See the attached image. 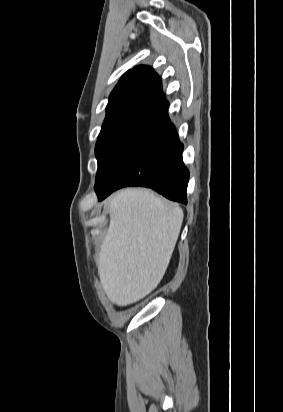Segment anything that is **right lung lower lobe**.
<instances>
[{"label": "right lung lower lobe", "mask_w": 283, "mask_h": 412, "mask_svg": "<svg viewBox=\"0 0 283 412\" xmlns=\"http://www.w3.org/2000/svg\"><path fill=\"white\" fill-rule=\"evenodd\" d=\"M182 152L183 144L166 114L95 183L98 199L122 187L145 186L170 200L187 203L189 171Z\"/></svg>", "instance_id": "right-lung-lower-lobe-1"}]
</instances>
